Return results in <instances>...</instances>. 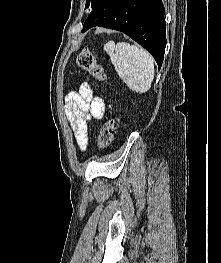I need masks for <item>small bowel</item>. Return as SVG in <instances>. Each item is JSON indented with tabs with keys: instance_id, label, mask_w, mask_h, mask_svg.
<instances>
[{
	"instance_id": "obj_1",
	"label": "small bowel",
	"mask_w": 221,
	"mask_h": 263,
	"mask_svg": "<svg viewBox=\"0 0 221 263\" xmlns=\"http://www.w3.org/2000/svg\"><path fill=\"white\" fill-rule=\"evenodd\" d=\"M65 112L75 140L82 151L89 144V125L91 119H101L105 113V103L95 96L88 83L82 84L78 91L70 92L65 98Z\"/></svg>"
}]
</instances>
